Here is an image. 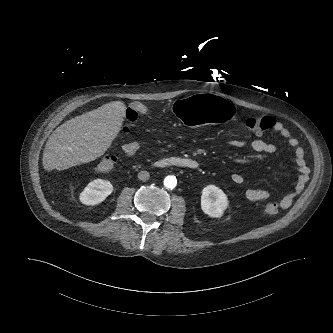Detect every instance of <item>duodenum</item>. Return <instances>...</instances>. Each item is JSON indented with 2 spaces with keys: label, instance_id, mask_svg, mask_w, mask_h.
Masks as SVG:
<instances>
[{
  "label": "duodenum",
  "instance_id": "1",
  "mask_svg": "<svg viewBox=\"0 0 333 333\" xmlns=\"http://www.w3.org/2000/svg\"><path fill=\"white\" fill-rule=\"evenodd\" d=\"M154 165L159 168L176 167L182 169L195 170L199 163L195 159L187 157H169L157 160Z\"/></svg>",
  "mask_w": 333,
  "mask_h": 333
}]
</instances>
